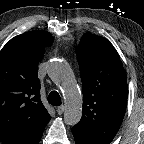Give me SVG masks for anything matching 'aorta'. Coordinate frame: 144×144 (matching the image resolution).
<instances>
[{
	"label": "aorta",
	"mask_w": 144,
	"mask_h": 144,
	"mask_svg": "<svg viewBox=\"0 0 144 144\" xmlns=\"http://www.w3.org/2000/svg\"><path fill=\"white\" fill-rule=\"evenodd\" d=\"M48 75L61 87L66 104L64 122L71 126L77 124L82 117V100L71 68L64 61L54 60L48 67Z\"/></svg>",
	"instance_id": "762f6f07"
}]
</instances>
